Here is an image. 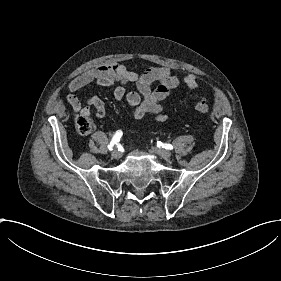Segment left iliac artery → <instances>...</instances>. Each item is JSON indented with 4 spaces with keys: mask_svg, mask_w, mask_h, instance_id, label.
<instances>
[{
    "mask_svg": "<svg viewBox=\"0 0 281 281\" xmlns=\"http://www.w3.org/2000/svg\"><path fill=\"white\" fill-rule=\"evenodd\" d=\"M158 145H161L163 148L168 149V150H172L173 146L171 144H162V142H157Z\"/></svg>",
    "mask_w": 281,
    "mask_h": 281,
    "instance_id": "left-iliac-artery-1",
    "label": "left iliac artery"
}]
</instances>
